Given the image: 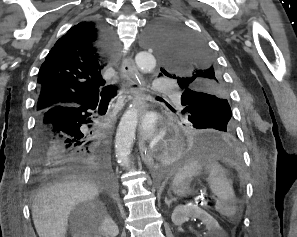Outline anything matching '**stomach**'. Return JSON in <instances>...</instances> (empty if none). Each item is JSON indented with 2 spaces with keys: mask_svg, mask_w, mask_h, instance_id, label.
<instances>
[{
  "mask_svg": "<svg viewBox=\"0 0 297 237\" xmlns=\"http://www.w3.org/2000/svg\"><path fill=\"white\" fill-rule=\"evenodd\" d=\"M171 190L173 193L179 197H183L191 194L192 190L190 188V182L188 180H183L178 184H172Z\"/></svg>",
  "mask_w": 297,
  "mask_h": 237,
  "instance_id": "0dacf381",
  "label": "stomach"
}]
</instances>
